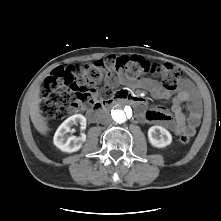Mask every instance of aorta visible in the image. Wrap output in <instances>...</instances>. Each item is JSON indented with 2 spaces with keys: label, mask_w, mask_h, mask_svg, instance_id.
<instances>
[{
  "label": "aorta",
  "mask_w": 221,
  "mask_h": 221,
  "mask_svg": "<svg viewBox=\"0 0 221 221\" xmlns=\"http://www.w3.org/2000/svg\"><path fill=\"white\" fill-rule=\"evenodd\" d=\"M131 113V110L129 108H125V109H116L113 110L111 115L112 118L115 122L117 123H123L124 121L127 120V118L129 117Z\"/></svg>",
  "instance_id": "aorta-1"
}]
</instances>
